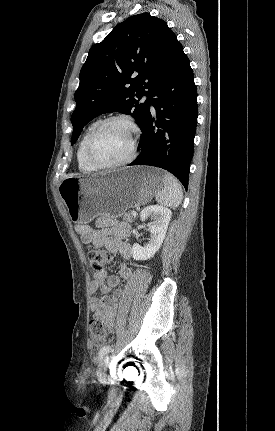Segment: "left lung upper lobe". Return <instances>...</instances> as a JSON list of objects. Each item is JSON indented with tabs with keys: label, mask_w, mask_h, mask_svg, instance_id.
Returning <instances> with one entry per match:
<instances>
[{
	"label": "left lung upper lobe",
	"mask_w": 275,
	"mask_h": 431,
	"mask_svg": "<svg viewBox=\"0 0 275 431\" xmlns=\"http://www.w3.org/2000/svg\"><path fill=\"white\" fill-rule=\"evenodd\" d=\"M180 45L166 22L149 13L129 17L93 45L74 95L71 143L89 121L103 113L131 115L141 127L155 86ZM144 95L148 99L139 103Z\"/></svg>",
	"instance_id": "left-lung-upper-lobe-1"
}]
</instances>
